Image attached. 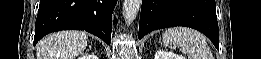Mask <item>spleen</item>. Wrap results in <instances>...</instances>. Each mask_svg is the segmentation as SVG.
Segmentation results:
<instances>
[{
	"instance_id": "obj_1",
	"label": "spleen",
	"mask_w": 261,
	"mask_h": 59,
	"mask_svg": "<svg viewBox=\"0 0 261 59\" xmlns=\"http://www.w3.org/2000/svg\"><path fill=\"white\" fill-rule=\"evenodd\" d=\"M162 42L171 49L178 46L188 59H213L204 36L191 28H169L163 33Z\"/></svg>"
}]
</instances>
